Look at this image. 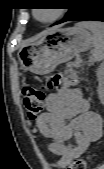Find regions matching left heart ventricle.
<instances>
[{
    "instance_id": "b2bd125f",
    "label": "left heart ventricle",
    "mask_w": 104,
    "mask_h": 169,
    "mask_svg": "<svg viewBox=\"0 0 104 169\" xmlns=\"http://www.w3.org/2000/svg\"><path fill=\"white\" fill-rule=\"evenodd\" d=\"M54 14V11L51 9H38L37 10V17L42 20H47L51 18Z\"/></svg>"
}]
</instances>
